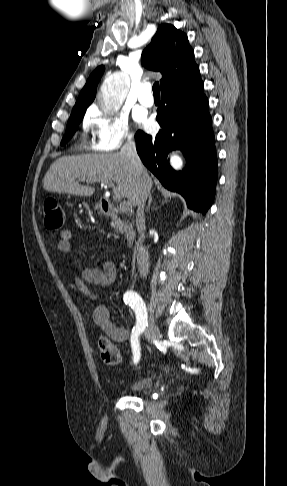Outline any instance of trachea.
<instances>
[{
	"label": "trachea",
	"mask_w": 287,
	"mask_h": 486,
	"mask_svg": "<svg viewBox=\"0 0 287 486\" xmlns=\"http://www.w3.org/2000/svg\"><path fill=\"white\" fill-rule=\"evenodd\" d=\"M152 89H153L154 95H160V87H159V83L158 82H155L154 83Z\"/></svg>",
	"instance_id": "trachea-1"
}]
</instances>
